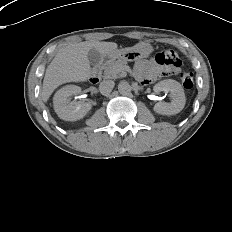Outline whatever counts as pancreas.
Returning a JSON list of instances; mask_svg holds the SVG:
<instances>
[{
    "instance_id": "1",
    "label": "pancreas",
    "mask_w": 232,
    "mask_h": 232,
    "mask_svg": "<svg viewBox=\"0 0 232 232\" xmlns=\"http://www.w3.org/2000/svg\"><path fill=\"white\" fill-rule=\"evenodd\" d=\"M127 62L125 60H110L101 66L103 70V77L108 79H116L119 77L124 65Z\"/></svg>"
}]
</instances>
